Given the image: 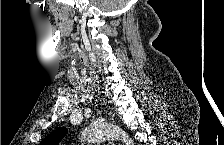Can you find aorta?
I'll return each mask as SVG.
<instances>
[{
	"mask_svg": "<svg viewBox=\"0 0 224 145\" xmlns=\"http://www.w3.org/2000/svg\"><path fill=\"white\" fill-rule=\"evenodd\" d=\"M113 138L121 139L126 145L133 140L121 128L109 123H94L81 132V140L88 143L104 142Z\"/></svg>",
	"mask_w": 224,
	"mask_h": 145,
	"instance_id": "762f6f07",
	"label": "aorta"
}]
</instances>
